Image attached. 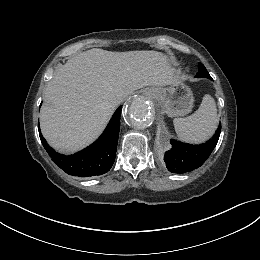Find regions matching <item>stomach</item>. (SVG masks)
Here are the masks:
<instances>
[{
    "instance_id": "stomach-1",
    "label": "stomach",
    "mask_w": 260,
    "mask_h": 260,
    "mask_svg": "<svg viewBox=\"0 0 260 260\" xmlns=\"http://www.w3.org/2000/svg\"><path fill=\"white\" fill-rule=\"evenodd\" d=\"M148 93L151 99L164 107L166 114L170 117L185 116L193 108V93L182 80L168 87H152Z\"/></svg>"
}]
</instances>
